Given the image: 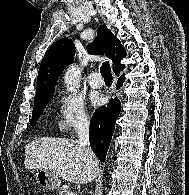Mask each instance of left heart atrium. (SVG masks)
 I'll return each instance as SVG.
<instances>
[{
	"label": "left heart atrium",
	"instance_id": "39dd6f15",
	"mask_svg": "<svg viewBox=\"0 0 189 195\" xmlns=\"http://www.w3.org/2000/svg\"><path fill=\"white\" fill-rule=\"evenodd\" d=\"M90 100H91L93 106L96 107V106H99V105L102 104L103 98H102V96H101L100 94H98V93H93V94H91V96H90Z\"/></svg>",
	"mask_w": 189,
	"mask_h": 195
}]
</instances>
